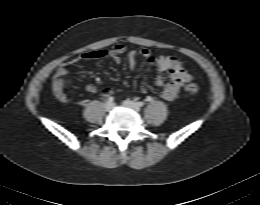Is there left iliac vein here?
Here are the masks:
<instances>
[{
	"mask_svg": "<svg viewBox=\"0 0 260 205\" xmlns=\"http://www.w3.org/2000/svg\"><path fill=\"white\" fill-rule=\"evenodd\" d=\"M124 105L132 107L134 110L138 111L139 110V106L136 102L131 101V100H125L124 101Z\"/></svg>",
	"mask_w": 260,
	"mask_h": 205,
	"instance_id": "4c4485c4",
	"label": "left iliac vein"
}]
</instances>
